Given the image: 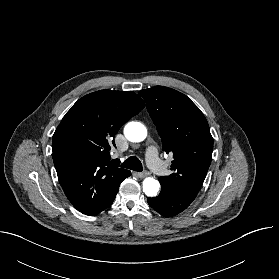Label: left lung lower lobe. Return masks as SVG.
Masks as SVG:
<instances>
[{
  "label": "left lung lower lobe",
  "instance_id": "1",
  "mask_svg": "<svg viewBox=\"0 0 279 279\" xmlns=\"http://www.w3.org/2000/svg\"><path fill=\"white\" fill-rule=\"evenodd\" d=\"M161 184L159 196L148 198V204L163 216H174L185 210L196 196L180 193Z\"/></svg>",
  "mask_w": 279,
  "mask_h": 279
}]
</instances>
